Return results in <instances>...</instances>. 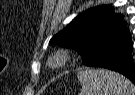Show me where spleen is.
I'll return each instance as SVG.
<instances>
[{
  "label": "spleen",
  "mask_w": 135,
  "mask_h": 95,
  "mask_svg": "<svg viewBox=\"0 0 135 95\" xmlns=\"http://www.w3.org/2000/svg\"><path fill=\"white\" fill-rule=\"evenodd\" d=\"M80 95H135V86L124 76L104 69L78 72Z\"/></svg>",
  "instance_id": "obj_1"
}]
</instances>
